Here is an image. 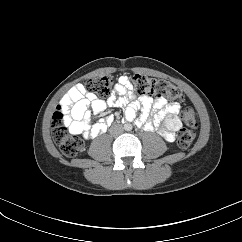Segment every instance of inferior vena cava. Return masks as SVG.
I'll use <instances>...</instances> for the list:
<instances>
[{
    "label": "inferior vena cava",
    "mask_w": 242,
    "mask_h": 242,
    "mask_svg": "<svg viewBox=\"0 0 242 242\" xmlns=\"http://www.w3.org/2000/svg\"><path fill=\"white\" fill-rule=\"evenodd\" d=\"M124 129L121 125H115L114 127L111 128V133L113 135H119L123 133Z\"/></svg>",
    "instance_id": "obj_1"
}]
</instances>
